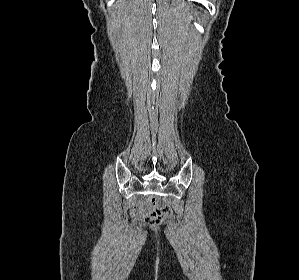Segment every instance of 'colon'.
Wrapping results in <instances>:
<instances>
[{"instance_id": "1", "label": "colon", "mask_w": 299, "mask_h": 280, "mask_svg": "<svg viewBox=\"0 0 299 280\" xmlns=\"http://www.w3.org/2000/svg\"><path fill=\"white\" fill-rule=\"evenodd\" d=\"M171 214L172 211L167 205L159 201H154V208L147 215V222L151 225H155L171 216Z\"/></svg>"}]
</instances>
